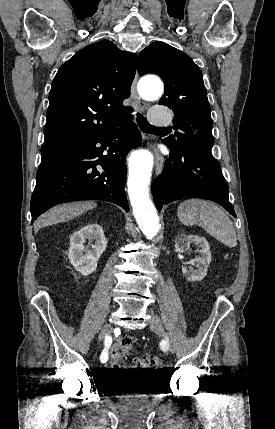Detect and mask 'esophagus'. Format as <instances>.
Wrapping results in <instances>:
<instances>
[{"mask_svg":"<svg viewBox=\"0 0 275 429\" xmlns=\"http://www.w3.org/2000/svg\"><path fill=\"white\" fill-rule=\"evenodd\" d=\"M138 75H135L133 83L131 85V98L139 110H145L146 104L143 100H141L140 96L137 93L136 84H137ZM155 166H156V175H160L163 170L164 157L161 153L155 148Z\"/></svg>","mask_w":275,"mask_h":429,"instance_id":"34e87169","label":"esophagus"}]
</instances>
